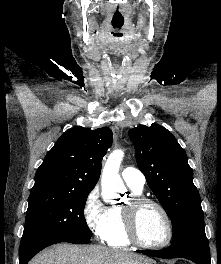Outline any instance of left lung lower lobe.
I'll use <instances>...</instances> for the list:
<instances>
[{"label":"left lung lower lobe","mask_w":221,"mask_h":264,"mask_svg":"<svg viewBox=\"0 0 221 264\" xmlns=\"http://www.w3.org/2000/svg\"><path fill=\"white\" fill-rule=\"evenodd\" d=\"M143 254L159 258H186L196 264H211L210 249L207 238L203 239H186L171 244L170 247L157 250H139Z\"/></svg>","instance_id":"left-lung-lower-lobe-1"}]
</instances>
